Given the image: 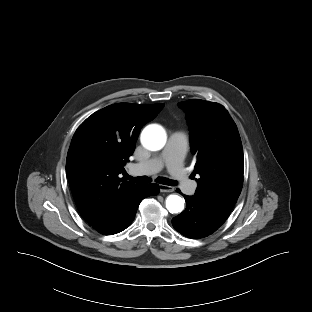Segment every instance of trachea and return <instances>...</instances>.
<instances>
[{"label":"trachea","mask_w":312,"mask_h":312,"mask_svg":"<svg viewBox=\"0 0 312 312\" xmlns=\"http://www.w3.org/2000/svg\"><path fill=\"white\" fill-rule=\"evenodd\" d=\"M126 179L134 182V183H139V184H145V183H150L151 179L147 176H139V177H131L129 175H126ZM157 183L163 184V185H168V186H175L177 185V182L174 180H171L169 178L165 177H158L156 179Z\"/></svg>","instance_id":"3493384b"}]
</instances>
